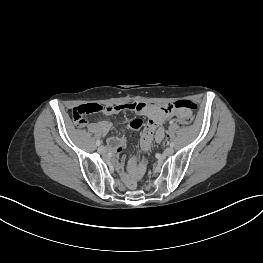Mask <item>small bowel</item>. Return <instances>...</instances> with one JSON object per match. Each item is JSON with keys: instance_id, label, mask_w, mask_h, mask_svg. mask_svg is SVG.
<instances>
[{"instance_id": "obj_1", "label": "small bowel", "mask_w": 263, "mask_h": 263, "mask_svg": "<svg viewBox=\"0 0 263 263\" xmlns=\"http://www.w3.org/2000/svg\"><path fill=\"white\" fill-rule=\"evenodd\" d=\"M106 109L103 112L106 115H112L121 111H133L137 115L147 118V122L144 124L142 119L136 118L129 122L128 126L133 131H138L144 127L141 137L142 147L149 149L151 147L153 139L157 142H162L165 138V131L162 127L164 122L170 118H184L192 113V107L189 104L180 103L156 105L148 104L144 102H129L114 106H105ZM85 126V122L81 127ZM99 133L104 136L111 129V123L109 121H99L97 124ZM125 138L111 137L106 142V147L109 153L119 154L123 147L126 145ZM135 162V161H134ZM146 162L143 161L137 172L136 177L140 178L145 174Z\"/></svg>"}]
</instances>
